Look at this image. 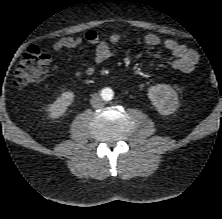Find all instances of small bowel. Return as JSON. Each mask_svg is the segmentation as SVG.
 I'll list each match as a JSON object with an SVG mask.
<instances>
[{
	"instance_id": "small-bowel-1",
	"label": "small bowel",
	"mask_w": 222,
	"mask_h": 219,
	"mask_svg": "<svg viewBox=\"0 0 222 219\" xmlns=\"http://www.w3.org/2000/svg\"><path fill=\"white\" fill-rule=\"evenodd\" d=\"M121 42L122 37L118 33H112L107 38L103 39L96 31L90 30L83 38L65 37L56 41L53 44V50L60 51L63 49H73L83 43H88L94 46L95 62L100 64L109 60L114 55L113 46H116ZM144 42L147 46L155 47L161 44V39L158 35L149 33L144 37ZM162 44L173 56V59L170 62V66L173 69L184 73H190L195 69L198 55L194 50L178 43L174 39H166ZM94 72V66H88L83 71L76 72L75 76L81 78L85 75H92Z\"/></svg>"
}]
</instances>
